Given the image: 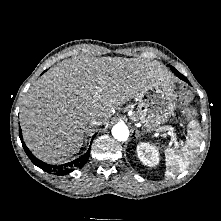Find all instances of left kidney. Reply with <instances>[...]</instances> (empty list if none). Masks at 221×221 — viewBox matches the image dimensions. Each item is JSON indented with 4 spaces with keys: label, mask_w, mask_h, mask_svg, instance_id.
<instances>
[{
    "label": "left kidney",
    "mask_w": 221,
    "mask_h": 221,
    "mask_svg": "<svg viewBox=\"0 0 221 221\" xmlns=\"http://www.w3.org/2000/svg\"><path fill=\"white\" fill-rule=\"evenodd\" d=\"M137 155L140 161L149 167H155L160 160L159 151L156 146L145 142L137 145Z\"/></svg>",
    "instance_id": "obj_1"
}]
</instances>
